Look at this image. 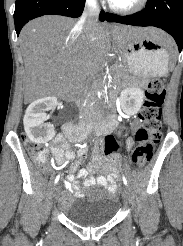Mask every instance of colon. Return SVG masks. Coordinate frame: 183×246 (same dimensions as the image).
I'll return each mask as SVG.
<instances>
[{
    "label": "colon",
    "mask_w": 183,
    "mask_h": 246,
    "mask_svg": "<svg viewBox=\"0 0 183 246\" xmlns=\"http://www.w3.org/2000/svg\"><path fill=\"white\" fill-rule=\"evenodd\" d=\"M165 97L166 89L163 80L160 78L151 80L145 92L143 108L139 114V127L135 134L136 145L132 160L137 167H142L151 159L155 146L161 140L162 106ZM124 134L125 125H116L114 133L107 134L104 144V153L107 157H124L123 148L119 147L116 140V138H122ZM24 141L32 159L39 164H45L46 148L26 139Z\"/></svg>",
    "instance_id": "1"
}]
</instances>
